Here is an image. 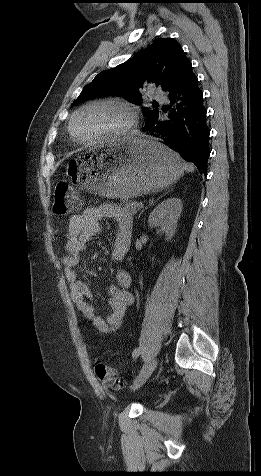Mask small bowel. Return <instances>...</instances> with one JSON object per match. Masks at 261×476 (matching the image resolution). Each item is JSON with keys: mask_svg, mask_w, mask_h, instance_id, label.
<instances>
[{"mask_svg": "<svg viewBox=\"0 0 261 476\" xmlns=\"http://www.w3.org/2000/svg\"><path fill=\"white\" fill-rule=\"evenodd\" d=\"M113 219L117 223L111 257L115 261L125 259L129 250L132 235V217L121 207L103 204L91 207L71 217L65 254L61 260L65 277L69 283L70 297L78 310L88 319L94 328L101 333H111L118 329L134 298L129 288L132 278L127 270L116 273V284L108 287V304L110 314L103 317L96 312L88 286L78 278L75 267L79 263L80 254L85 250L87 241L102 232V219Z\"/></svg>", "mask_w": 261, "mask_h": 476, "instance_id": "c3829d8e", "label": "small bowel"}]
</instances>
